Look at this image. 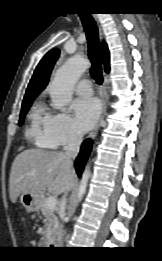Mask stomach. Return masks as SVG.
<instances>
[{"label": "stomach", "instance_id": "obj_1", "mask_svg": "<svg viewBox=\"0 0 162 261\" xmlns=\"http://www.w3.org/2000/svg\"><path fill=\"white\" fill-rule=\"evenodd\" d=\"M20 202L27 211L34 212L40 208L41 200L39 196H34L29 193H22L20 196Z\"/></svg>", "mask_w": 162, "mask_h": 261}]
</instances>
